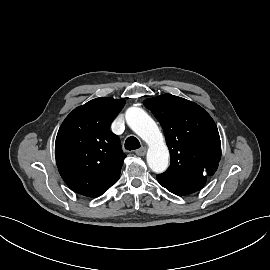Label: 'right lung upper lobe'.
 <instances>
[{"label":"right lung upper lobe","mask_w":270,"mask_h":270,"mask_svg":"<svg viewBox=\"0 0 270 270\" xmlns=\"http://www.w3.org/2000/svg\"><path fill=\"white\" fill-rule=\"evenodd\" d=\"M125 104L108 97L74 109L63 121L55 142L59 173L76 193L98 197L120 177L126 155L110 124Z\"/></svg>","instance_id":"1"}]
</instances>
